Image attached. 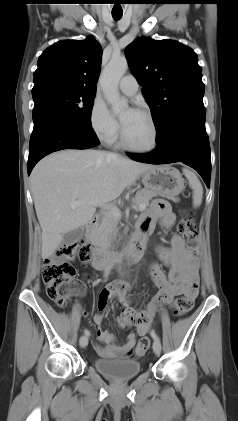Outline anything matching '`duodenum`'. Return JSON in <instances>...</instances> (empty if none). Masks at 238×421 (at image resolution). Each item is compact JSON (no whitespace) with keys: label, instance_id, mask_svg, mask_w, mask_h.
Segmentation results:
<instances>
[{"label":"duodenum","instance_id":"410a0bca","mask_svg":"<svg viewBox=\"0 0 238 421\" xmlns=\"http://www.w3.org/2000/svg\"><path fill=\"white\" fill-rule=\"evenodd\" d=\"M98 224V217L94 216L86 225V236L89 239L93 238L94 231ZM146 247L145 239L137 234L131 245L122 252L108 251L98 245H95L94 252L91 258V264L95 269L102 270L112 267L113 265H120L123 263L133 264L138 262Z\"/></svg>","mask_w":238,"mask_h":421}]
</instances>
